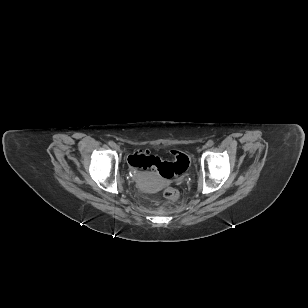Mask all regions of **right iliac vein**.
<instances>
[{"label": "right iliac vein", "mask_w": 308, "mask_h": 308, "mask_svg": "<svg viewBox=\"0 0 308 308\" xmlns=\"http://www.w3.org/2000/svg\"><path fill=\"white\" fill-rule=\"evenodd\" d=\"M113 148H114L115 150H118V151H119V146H118V145L115 144V145L113 146Z\"/></svg>", "instance_id": "obj_1"}]
</instances>
